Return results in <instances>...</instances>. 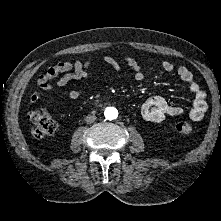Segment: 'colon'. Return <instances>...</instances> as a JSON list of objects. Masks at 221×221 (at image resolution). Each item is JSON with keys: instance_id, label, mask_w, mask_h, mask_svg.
<instances>
[{"instance_id": "obj_1", "label": "colon", "mask_w": 221, "mask_h": 221, "mask_svg": "<svg viewBox=\"0 0 221 221\" xmlns=\"http://www.w3.org/2000/svg\"><path fill=\"white\" fill-rule=\"evenodd\" d=\"M56 75L53 69L46 71L41 76L43 86L49 84L48 81ZM29 119L32 124V132L35 137L41 138L53 135L57 130L56 121L44 110H35L30 113ZM176 131L183 135H190L193 132V124L188 119H181L175 124Z\"/></svg>"}]
</instances>
